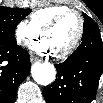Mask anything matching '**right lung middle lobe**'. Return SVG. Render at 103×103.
I'll use <instances>...</instances> for the list:
<instances>
[{"instance_id":"right-lung-middle-lobe-1","label":"right lung middle lobe","mask_w":103,"mask_h":103,"mask_svg":"<svg viewBox=\"0 0 103 103\" xmlns=\"http://www.w3.org/2000/svg\"><path fill=\"white\" fill-rule=\"evenodd\" d=\"M31 9L0 7V41L16 42L15 27Z\"/></svg>"}]
</instances>
